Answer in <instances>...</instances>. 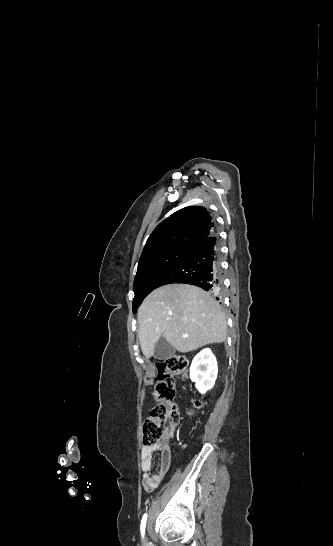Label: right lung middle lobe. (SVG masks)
<instances>
[{"instance_id":"obj_1","label":"right lung middle lobe","mask_w":333,"mask_h":546,"mask_svg":"<svg viewBox=\"0 0 333 546\" xmlns=\"http://www.w3.org/2000/svg\"><path fill=\"white\" fill-rule=\"evenodd\" d=\"M192 247H171L154 253L139 261L137 274L134 279L133 312L142 300L156 288L157 282L180 261Z\"/></svg>"}]
</instances>
